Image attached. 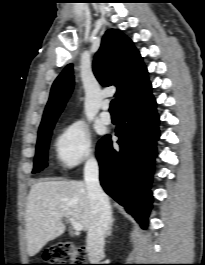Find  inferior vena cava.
Masks as SVG:
<instances>
[{
    "label": "inferior vena cava",
    "instance_id": "obj_1",
    "mask_svg": "<svg viewBox=\"0 0 205 265\" xmlns=\"http://www.w3.org/2000/svg\"><path fill=\"white\" fill-rule=\"evenodd\" d=\"M84 179L87 185L91 206V222L87 233V251L89 260L97 263L104 255L105 234L111 222V206L108 196L99 183V167L92 157L84 168Z\"/></svg>",
    "mask_w": 205,
    "mask_h": 265
}]
</instances>
